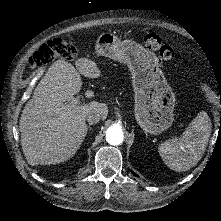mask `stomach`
I'll list each match as a JSON object with an SVG mask.
<instances>
[{"label":"stomach","mask_w":221,"mask_h":221,"mask_svg":"<svg viewBox=\"0 0 221 221\" xmlns=\"http://www.w3.org/2000/svg\"><path fill=\"white\" fill-rule=\"evenodd\" d=\"M100 55L126 63L132 74L134 116L145 133L158 135L172 126L175 95L153 61V54L131 40L102 33L96 42Z\"/></svg>","instance_id":"obj_1"}]
</instances>
